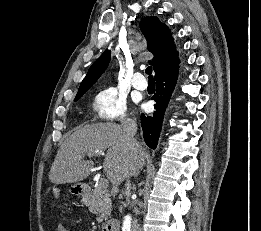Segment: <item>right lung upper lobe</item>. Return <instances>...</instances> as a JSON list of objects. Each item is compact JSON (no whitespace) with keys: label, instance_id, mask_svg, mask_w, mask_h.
<instances>
[{"label":"right lung upper lobe","instance_id":"right-lung-upper-lobe-1","mask_svg":"<svg viewBox=\"0 0 261 231\" xmlns=\"http://www.w3.org/2000/svg\"><path fill=\"white\" fill-rule=\"evenodd\" d=\"M140 28L147 40V49L154 55L150 64L155 71V77L178 67V52L169 28L157 17L143 18ZM109 61L110 51L105 50L89 68L86 77L80 84L78 93L86 92L97 81L107 68Z\"/></svg>","mask_w":261,"mask_h":231}]
</instances>
